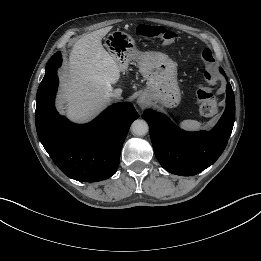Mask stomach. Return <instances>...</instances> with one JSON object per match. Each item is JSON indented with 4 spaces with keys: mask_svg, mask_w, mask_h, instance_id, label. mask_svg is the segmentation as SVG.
I'll return each mask as SVG.
<instances>
[{
    "mask_svg": "<svg viewBox=\"0 0 261 261\" xmlns=\"http://www.w3.org/2000/svg\"><path fill=\"white\" fill-rule=\"evenodd\" d=\"M106 45L120 69H126L132 60L137 62L141 75L147 80L143 98L166 108H174L180 103L177 64L166 54L138 50L131 35L120 30L106 37Z\"/></svg>",
    "mask_w": 261,
    "mask_h": 261,
    "instance_id": "0dacf381",
    "label": "stomach"
}]
</instances>
